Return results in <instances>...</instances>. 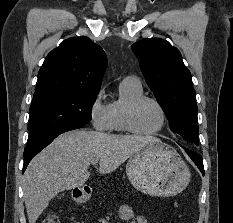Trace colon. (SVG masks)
Returning <instances> with one entry per match:
<instances>
[{
	"label": "colon",
	"mask_w": 233,
	"mask_h": 223,
	"mask_svg": "<svg viewBox=\"0 0 233 223\" xmlns=\"http://www.w3.org/2000/svg\"><path fill=\"white\" fill-rule=\"evenodd\" d=\"M43 223H60L58 216L54 213H50L44 220Z\"/></svg>",
	"instance_id": "colon-1"
}]
</instances>
